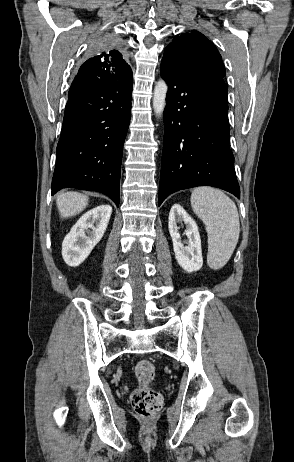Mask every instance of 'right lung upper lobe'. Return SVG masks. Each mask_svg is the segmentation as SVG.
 <instances>
[{"label": "right lung upper lobe", "mask_w": 294, "mask_h": 462, "mask_svg": "<svg viewBox=\"0 0 294 462\" xmlns=\"http://www.w3.org/2000/svg\"><path fill=\"white\" fill-rule=\"evenodd\" d=\"M132 74L130 66L116 49L99 51L82 64L70 87L75 95L121 82Z\"/></svg>", "instance_id": "1"}]
</instances>
